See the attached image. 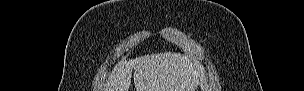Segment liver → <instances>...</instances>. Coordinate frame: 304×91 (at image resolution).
Returning a JSON list of instances; mask_svg holds the SVG:
<instances>
[{
	"mask_svg": "<svg viewBox=\"0 0 304 91\" xmlns=\"http://www.w3.org/2000/svg\"><path fill=\"white\" fill-rule=\"evenodd\" d=\"M133 70L136 91H195L203 73V67L188 55L156 53L122 60L103 91H128Z\"/></svg>",
	"mask_w": 304,
	"mask_h": 91,
	"instance_id": "6515ba94",
	"label": "liver"
}]
</instances>
